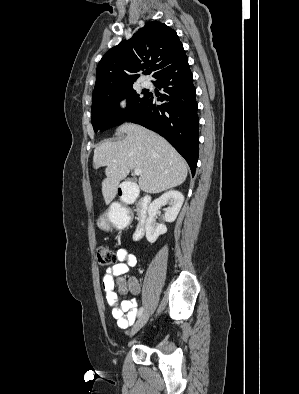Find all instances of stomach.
Listing matches in <instances>:
<instances>
[{
    "mask_svg": "<svg viewBox=\"0 0 299 394\" xmlns=\"http://www.w3.org/2000/svg\"><path fill=\"white\" fill-rule=\"evenodd\" d=\"M112 221L113 219L110 214L102 215L98 218L97 225L103 230H108Z\"/></svg>",
    "mask_w": 299,
    "mask_h": 394,
    "instance_id": "0dacf381",
    "label": "stomach"
}]
</instances>
